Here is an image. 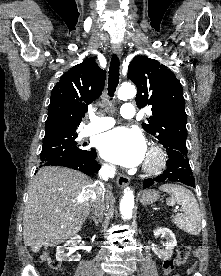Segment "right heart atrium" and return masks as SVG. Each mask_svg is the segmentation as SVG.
I'll return each mask as SVG.
<instances>
[{
  "label": "right heart atrium",
  "mask_w": 221,
  "mask_h": 276,
  "mask_svg": "<svg viewBox=\"0 0 221 276\" xmlns=\"http://www.w3.org/2000/svg\"><path fill=\"white\" fill-rule=\"evenodd\" d=\"M106 169H111L109 166H105Z\"/></svg>",
  "instance_id": "obj_1"
}]
</instances>
